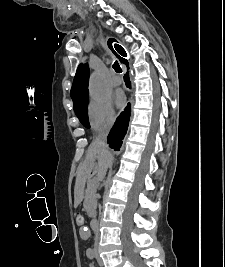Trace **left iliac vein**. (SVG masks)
Wrapping results in <instances>:
<instances>
[{
    "mask_svg": "<svg viewBox=\"0 0 225 267\" xmlns=\"http://www.w3.org/2000/svg\"><path fill=\"white\" fill-rule=\"evenodd\" d=\"M96 257H97V262H98L99 266L102 267V266H103V261H102V259L98 256L97 253H96Z\"/></svg>",
    "mask_w": 225,
    "mask_h": 267,
    "instance_id": "left-iliac-vein-1",
    "label": "left iliac vein"
}]
</instances>
